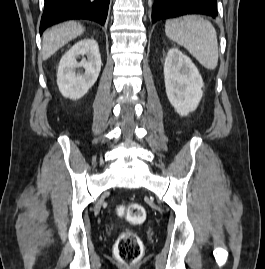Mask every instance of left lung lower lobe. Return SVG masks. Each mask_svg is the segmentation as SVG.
Here are the masks:
<instances>
[{"mask_svg": "<svg viewBox=\"0 0 265 269\" xmlns=\"http://www.w3.org/2000/svg\"><path fill=\"white\" fill-rule=\"evenodd\" d=\"M186 14H202L215 18L218 15L217 0H155L152 22Z\"/></svg>", "mask_w": 265, "mask_h": 269, "instance_id": "obj_1", "label": "left lung lower lobe"}]
</instances>
